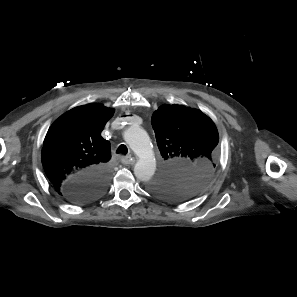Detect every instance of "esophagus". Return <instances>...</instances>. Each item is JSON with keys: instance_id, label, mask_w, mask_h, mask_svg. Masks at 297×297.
<instances>
[{"instance_id": "obj_1", "label": "esophagus", "mask_w": 297, "mask_h": 297, "mask_svg": "<svg viewBox=\"0 0 297 297\" xmlns=\"http://www.w3.org/2000/svg\"><path fill=\"white\" fill-rule=\"evenodd\" d=\"M121 162L124 165H129V164H133L135 161L131 157H129V156H122L121 157Z\"/></svg>"}]
</instances>
